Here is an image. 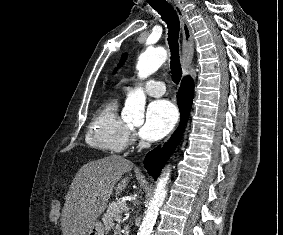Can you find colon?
Masks as SVG:
<instances>
[{
	"label": "colon",
	"mask_w": 283,
	"mask_h": 235,
	"mask_svg": "<svg viewBox=\"0 0 283 235\" xmlns=\"http://www.w3.org/2000/svg\"><path fill=\"white\" fill-rule=\"evenodd\" d=\"M59 213H60V203L59 201H54L50 209V217L52 219H57L59 216Z\"/></svg>",
	"instance_id": "1"
}]
</instances>
